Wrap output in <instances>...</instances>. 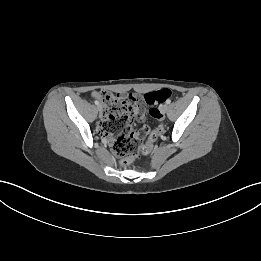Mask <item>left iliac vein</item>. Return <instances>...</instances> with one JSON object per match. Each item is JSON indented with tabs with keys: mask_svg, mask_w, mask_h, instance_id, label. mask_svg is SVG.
I'll return each mask as SVG.
<instances>
[{
	"mask_svg": "<svg viewBox=\"0 0 261 261\" xmlns=\"http://www.w3.org/2000/svg\"><path fill=\"white\" fill-rule=\"evenodd\" d=\"M167 110H168V105H167V104H163V105L161 106V112H162V113H166Z\"/></svg>",
	"mask_w": 261,
	"mask_h": 261,
	"instance_id": "1",
	"label": "left iliac vein"
}]
</instances>
